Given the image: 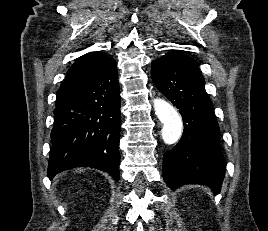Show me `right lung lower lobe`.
Here are the masks:
<instances>
[{
  "mask_svg": "<svg viewBox=\"0 0 268 231\" xmlns=\"http://www.w3.org/2000/svg\"><path fill=\"white\" fill-rule=\"evenodd\" d=\"M120 91L116 61L73 85L54 109L52 147L47 176L85 166L112 175L118 181Z\"/></svg>",
  "mask_w": 268,
  "mask_h": 231,
  "instance_id": "right-lung-lower-lobe-1",
  "label": "right lung lower lobe"
}]
</instances>
